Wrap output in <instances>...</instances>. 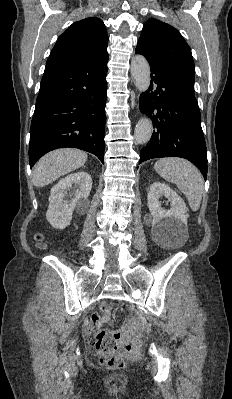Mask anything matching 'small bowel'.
Here are the masks:
<instances>
[{"label": "small bowel", "instance_id": "small-bowel-1", "mask_svg": "<svg viewBox=\"0 0 232 399\" xmlns=\"http://www.w3.org/2000/svg\"><path fill=\"white\" fill-rule=\"evenodd\" d=\"M110 318L111 306L103 303L100 306L99 312L92 316V320L90 322H80L78 323V327L88 332L99 330L102 328L104 323L110 320Z\"/></svg>", "mask_w": 232, "mask_h": 399}]
</instances>
